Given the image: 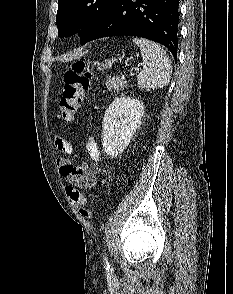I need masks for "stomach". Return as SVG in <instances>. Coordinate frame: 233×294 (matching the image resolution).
<instances>
[{"label": "stomach", "mask_w": 233, "mask_h": 294, "mask_svg": "<svg viewBox=\"0 0 233 294\" xmlns=\"http://www.w3.org/2000/svg\"><path fill=\"white\" fill-rule=\"evenodd\" d=\"M113 62H114L113 60H105L100 65H98L97 70L101 71L103 69L110 68Z\"/></svg>", "instance_id": "obj_1"}]
</instances>
